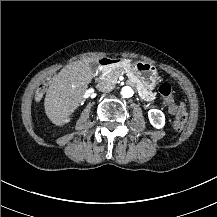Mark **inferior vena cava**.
Returning a JSON list of instances; mask_svg holds the SVG:
<instances>
[{
    "mask_svg": "<svg viewBox=\"0 0 217 217\" xmlns=\"http://www.w3.org/2000/svg\"><path fill=\"white\" fill-rule=\"evenodd\" d=\"M98 90H99L100 92L109 93V92L112 90V86H111L107 81L102 80V81L99 83Z\"/></svg>",
    "mask_w": 217,
    "mask_h": 217,
    "instance_id": "1",
    "label": "inferior vena cava"
}]
</instances>
